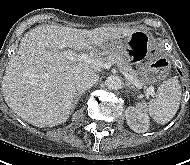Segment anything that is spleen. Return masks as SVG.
Masks as SVG:
<instances>
[{
    "mask_svg": "<svg viewBox=\"0 0 190 165\" xmlns=\"http://www.w3.org/2000/svg\"><path fill=\"white\" fill-rule=\"evenodd\" d=\"M182 88L176 77H170L158 88L155 98L148 103L136 104V109L149 115L159 124L168 123L176 114L181 100Z\"/></svg>",
    "mask_w": 190,
    "mask_h": 165,
    "instance_id": "obj_1",
    "label": "spleen"
}]
</instances>
